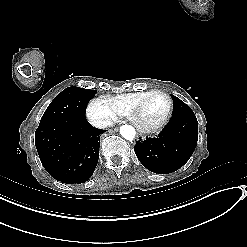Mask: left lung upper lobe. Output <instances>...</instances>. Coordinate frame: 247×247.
I'll use <instances>...</instances> for the list:
<instances>
[{
	"mask_svg": "<svg viewBox=\"0 0 247 247\" xmlns=\"http://www.w3.org/2000/svg\"><path fill=\"white\" fill-rule=\"evenodd\" d=\"M173 102H174V115L180 114V113H187V112H193L192 109L185 104L183 101H181L176 96L171 95Z\"/></svg>",
	"mask_w": 247,
	"mask_h": 247,
	"instance_id": "5c2ea615",
	"label": "left lung upper lobe"
}]
</instances>
